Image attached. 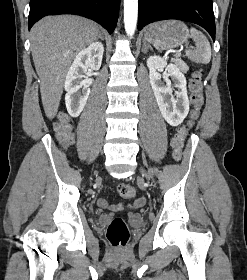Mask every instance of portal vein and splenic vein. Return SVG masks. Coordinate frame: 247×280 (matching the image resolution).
Masks as SVG:
<instances>
[{
  "instance_id": "1",
  "label": "portal vein and splenic vein",
  "mask_w": 247,
  "mask_h": 280,
  "mask_svg": "<svg viewBox=\"0 0 247 280\" xmlns=\"http://www.w3.org/2000/svg\"><path fill=\"white\" fill-rule=\"evenodd\" d=\"M179 56V54L178 53H176L175 55H174V57H178Z\"/></svg>"
}]
</instances>
